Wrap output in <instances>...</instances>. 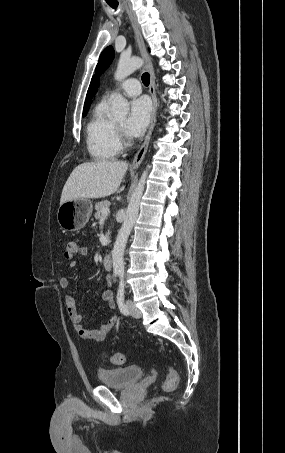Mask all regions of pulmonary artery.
<instances>
[{"label": "pulmonary artery", "mask_w": 285, "mask_h": 453, "mask_svg": "<svg viewBox=\"0 0 285 453\" xmlns=\"http://www.w3.org/2000/svg\"><path fill=\"white\" fill-rule=\"evenodd\" d=\"M119 90L126 96H137L141 93V86L137 79L129 78L125 80L119 87ZM110 94L105 96V100L109 99Z\"/></svg>", "instance_id": "1"}]
</instances>
